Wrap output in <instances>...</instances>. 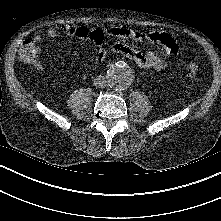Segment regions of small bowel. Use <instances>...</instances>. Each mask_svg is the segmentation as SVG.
I'll list each match as a JSON object with an SVG mask.
<instances>
[{
	"mask_svg": "<svg viewBox=\"0 0 221 221\" xmlns=\"http://www.w3.org/2000/svg\"><path fill=\"white\" fill-rule=\"evenodd\" d=\"M106 35L124 40H132L135 42L148 41L151 43H156L161 45L164 51L169 55H174L179 52V46L174 38L165 32H142L123 26L111 27L105 31H102L100 29H89L84 25L70 24L50 27L46 30V36L49 38L67 36L90 40L95 45L97 50V54L95 57L97 65H100L104 61L107 54V50L105 47ZM33 40L36 44H39L42 41V36L37 35L34 37ZM110 50L127 57L141 69L163 70L167 68L169 64L154 50L141 52L134 47L119 42L111 45ZM36 67L38 69H43V66L40 63H37Z\"/></svg>",
	"mask_w": 221,
	"mask_h": 221,
	"instance_id": "small-bowel-1",
	"label": "small bowel"
}]
</instances>
